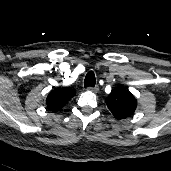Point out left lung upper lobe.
Wrapping results in <instances>:
<instances>
[{"label":"left lung upper lobe","instance_id":"obj_1","mask_svg":"<svg viewBox=\"0 0 171 171\" xmlns=\"http://www.w3.org/2000/svg\"><path fill=\"white\" fill-rule=\"evenodd\" d=\"M108 108L118 120L131 117L137 107L136 98L122 85L113 89L105 100Z\"/></svg>","mask_w":171,"mask_h":171}]
</instances>
